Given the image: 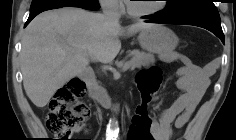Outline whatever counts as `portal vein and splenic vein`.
I'll return each mask as SVG.
<instances>
[{"mask_svg": "<svg viewBox=\"0 0 236 140\" xmlns=\"http://www.w3.org/2000/svg\"><path fill=\"white\" fill-rule=\"evenodd\" d=\"M130 65H131V63H130V61H128V62H126L125 64H124V66H123V70H127L128 68H130Z\"/></svg>", "mask_w": 236, "mask_h": 140, "instance_id": "18ae733b", "label": "portal vein and splenic vein"}]
</instances>
